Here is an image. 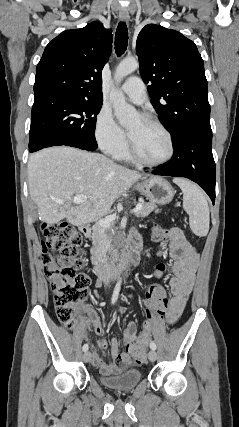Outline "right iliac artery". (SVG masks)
I'll list each match as a JSON object with an SVG mask.
<instances>
[{"mask_svg": "<svg viewBox=\"0 0 239 427\" xmlns=\"http://www.w3.org/2000/svg\"><path fill=\"white\" fill-rule=\"evenodd\" d=\"M120 287H121V280L118 281V283L115 286L113 295H112V299H111V303L114 304L117 301L118 295H119V291H120ZM88 345L84 344L82 349L84 352H86L88 350Z\"/></svg>", "mask_w": 239, "mask_h": 427, "instance_id": "obj_1", "label": "right iliac artery"}]
</instances>
